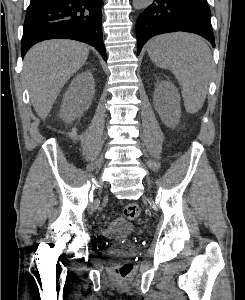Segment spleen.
<instances>
[{
	"label": "spleen",
	"mask_w": 245,
	"mask_h": 300,
	"mask_svg": "<svg viewBox=\"0 0 245 300\" xmlns=\"http://www.w3.org/2000/svg\"><path fill=\"white\" fill-rule=\"evenodd\" d=\"M147 51L158 67L170 69L177 78L186 110L198 112L206 98L212 69L205 41L193 34H165L151 39Z\"/></svg>",
	"instance_id": "spleen-1"
}]
</instances>
